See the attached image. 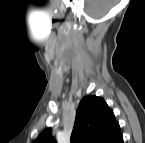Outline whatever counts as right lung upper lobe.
I'll use <instances>...</instances> for the list:
<instances>
[{"mask_svg": "<svg viewBox=\"0 0 145 143\" xmlns=\"http://www.w3.org/2000/svg\"><path fill=\"white\" fill-rule=\"evenodd\" d=\"M120 127L104 99L86 96L76 112L71 143H122ZM35 143H56L51 128L42 132Z\"/></svg>", "mask_w": 145, "mask_h": 143, "instance_id": "cb5924a9", "label": "right lung upper lobe"}]
</instances>
